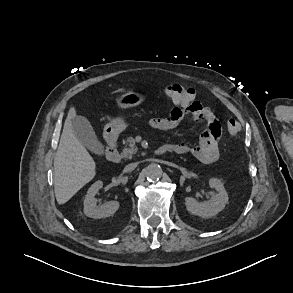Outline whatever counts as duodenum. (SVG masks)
I'll return each mask as SVG.
<instances>
[{
  "mask_svg": "<svg viewBox=\"0 0 293 293\" xmlns=\"http://www.w3.org/2000/svg\"><path fill=\"white\" fill-rule=\"evenodd\" d=\"M107 159L111 163H119L121 161V155L117 150V140L113 136H107ZM174 147L171 145L160 146L155 149V154L162 155L167 152H173Z\"/></svg>",
  "mask_w": 293,
  "mask_h": 293,
  "instance_id": "obj_1",
  "label": "duodenum"
}]
</instances>
